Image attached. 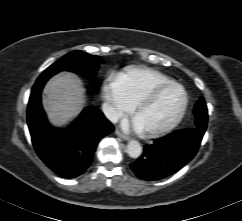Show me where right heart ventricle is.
Returning a JSON list of instances; mask_svg holds the SVG:
<instances>
[{
  "mask_svg": "<svg viewBox=\"0 0 242 221\" xmlns=\"http://www.w3.org/2000/svg\"><path fill=\"white\" fill-rule=\"evenodd\" d=\"M115 81L125 97L134 106L159 85L173 80L163 73L148 68H130L118 75Z\"/></svg>",
  "mask_w": 242,
  "mask_h": 221,
  "instance_id": "obj_1",
  "label": "right heart ventricle"
}]
</instances>
